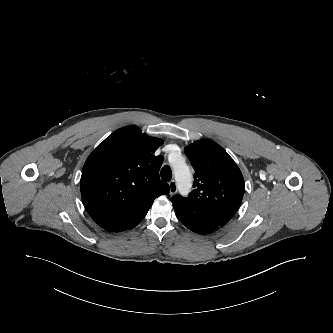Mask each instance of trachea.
Returning a JSON list of instances; mask_svg holds the SVG:
<instances>
[{
  "instance_id": "obj_1",
  "label": "trachea",
  "mask_w": 333,
  "mask_h": 333,
  "mask_svg": "<svg viewBox=\"0 0 333 333\" xmlns=\"http://www.w3.org/2000/svg\"><path fill=\"white\" fill-rule=\"evenodd\" d=\"M160 175L163 181L169 182L172 178V171L170 167L167 165L163 166Z\"/></svg>"
}]
</instances>
